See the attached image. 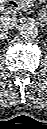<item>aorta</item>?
<instances>
[{
	"instance_id": "obj_1",
	"label": "aorta",
	"mask_w": 47,
	"mask_h": 129,
	"mask_svg": "<svg viewBox=\"0 0 47 129\" xmlns=\"http://www.w3.org/2000/svg\"><path fill=\"white\" fill-rule=\"evenodd\" d=\"M38 27L32 21H25L19 27L20 35L26 40L35 39L38 36Z\"/></svg>"
}]
</instances>
